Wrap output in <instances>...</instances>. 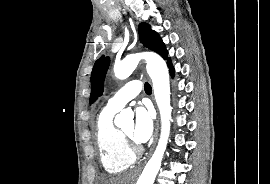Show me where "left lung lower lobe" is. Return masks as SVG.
Segmentation results:
<instances>
[{
  "label": "left lung lower lobe",
  "instance_id": "0a47b994",
  "mask_svg": "<svg viewBox=\"0 0 270 184\" xmlns=\"http://www.w3.org/2000/svg\"><path fill=\"white\" fill-rule=\"evenodd\" d=\"M167 65H168V67H169L170 74H171V76L173 77V76H174V67H173V65H172V63H171L170 58L167 59Z\"/></svg>",
  "mask_w": 270,
  "mask_h": 184
}]
</instances>
